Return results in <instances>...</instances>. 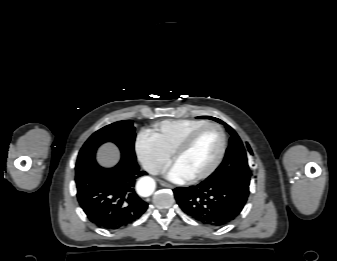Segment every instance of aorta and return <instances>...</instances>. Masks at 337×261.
<instances>
[{"label":"aorta","mask_w":337,"mask_h":261,"mask_svg":"<svg viewBox=\"0 0 337 261\" xmlns=\"http://www.w3.org/2000/svg\"><path fill=\"white\" fill-rule=\"evenodd\" d=\"M155 181L151 177H142L137 181L136 190L140 196L148 197L155 190Z\"/></svg>","instance_id":"aorta-1"}]
</instances>
